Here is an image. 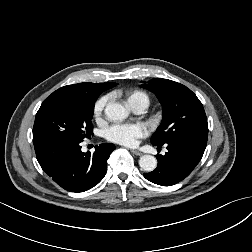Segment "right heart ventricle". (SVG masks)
I'll return each mask as SVG.
<instances>
[{
  "label": "right heart ventricle",
  "instance_id": "obj_1",
  "mask_svg": "<svg viewBox=\"0 0 252 252\" xmlns=\"http://www.w3.org/2000/svg\"><path fill=\"white\" fill-rule=\"evenodd\" d=\"M126 98L130 106L136 103H145L148 106L150 101L148 94L141 90H134L127 93Z\"/></svg>",
  "mask_w": 252,
  "mask_h": 252
}]
</instances>
